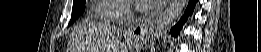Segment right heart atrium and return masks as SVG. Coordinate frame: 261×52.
<instances>
[{"instance_id":"obj_1","label":"right heart atrium","mask_w":261,"mask_h":52,"mask_svg":"<svg viewBox=\"0 0 261 52\" xmlns=\"http://www.w3.org/2000/svg\"><path fill=\"white\" fill-rule=\"evenodd\" d=\"M131 15V10L128 7L119 10L118 16L121 18H127Z\"/></svg>"}]
</instances>
